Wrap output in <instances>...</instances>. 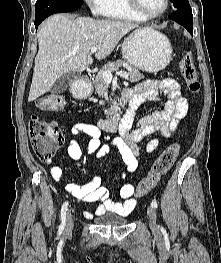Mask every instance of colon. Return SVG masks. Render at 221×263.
<instances>
[{
	"label": "colon",
	"instance_id": "colon-1",
	"mask_svg": "<svg viewBox=\"0 0 221 263\" xmlns=\"http://www.w3.org/2000/svg\"><path fill=\"white\" fill-rule=\"evenodd\" d=\"M179 68L189 91L198 93L200 81L190 53L183 54L179 62ZM35 104L40 110L59 112L66 108L67 102L62 95L48 94L39 97ZM29 130L31 145L36 156L40 160L49 161L62 141L63 136L60 128L54 122L44 121L33 115L29 123ZM178 152V145L172 144L158 156L149 173L136 187L138 197L147 195L157 185L162 176L174 164Z\"/></svg>",
	"mask_w": 221,
	"mask_h": 263
}]
</instances>
